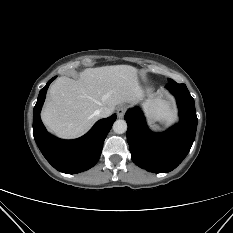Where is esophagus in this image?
Instances as JSON below:
<instances>
[{"label":"esophagus","mask_w":233,"mask_h":233,"mask_svg":"<svg viewBox=\"0 0 233 233\" xmlns=\"http://www.w3.org/2000/svg\"><path fill=\"white\" fill-rule=\"evenodd\" d=\"M127 107L125 105H121L117 108V116L118 118H123L126 113Z\"/></svg>","instance_id":"1"}]
</instances>
